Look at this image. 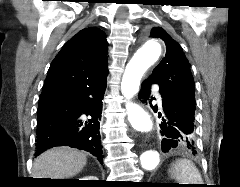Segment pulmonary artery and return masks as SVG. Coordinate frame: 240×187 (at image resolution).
<instances>
[{"mask_svg":"<svg viewBox=\"0 0 240 187\" xmlns=\"http://www.w3.org/2000/svg\"><path fill=\"white\" fill-rule=\"evenodd\" d=\"M158 101L161 103V98L158 96Z\"/></svg>","mask_w":240,"mask_h":187,"instance_id":"1","label":"pulmonary artery"}]
</instances>
